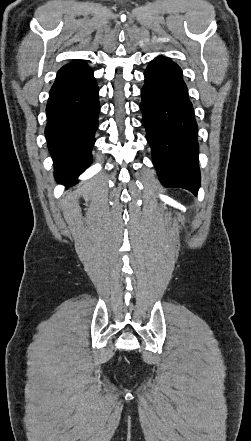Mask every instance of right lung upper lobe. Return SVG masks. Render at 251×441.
Instances as JSON below:
<instances>
[{
  "mask_svg": "<svg viewBox=\"0 0 251 441\" xmlns=\"http://www.w3.org/2000/svg\"><path fill=\"white\" fill-rule=\"evenodd\" d=\"M85 65H87V64L83 61H73V62L63 66L62 68H72V67L85 66Z\"/></svg>",
  "mask_w": 251,
  "mask_h": 441,
  "instance_id": "cb5924a9",
  "label": "right lung upper lobe"
}]
</instances>
